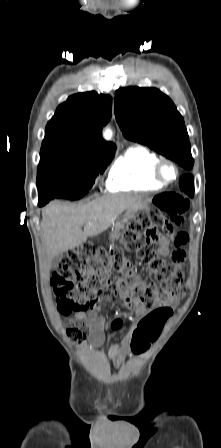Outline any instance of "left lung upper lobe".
I'll list each match as a JSON object with an SVG mask.
<instances>
[{"mask_svg":"<svg viewBox=\"0 0 221 448\" xmlns=\"http://www.w3.org/2000/svg\"><path fill=\"white\" fill-rule=\"evenodd\" d=\"M115 116L127 139L147 145L182 167H193L183 117L169 97L158 89H119L115 97Z\"/></svg>","mask_w":221,"mask_h":448,"instance_id":"1","label":"left lung upper lobe"}]
</instances>
